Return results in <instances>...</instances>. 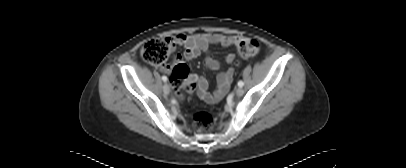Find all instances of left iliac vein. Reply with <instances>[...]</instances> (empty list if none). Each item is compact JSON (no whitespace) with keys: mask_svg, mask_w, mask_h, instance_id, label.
I'll return each instance as SVG.
<instances>
[{"mask_svg":"<svg viewBox=\"0 0 406 168\" xmlns=\"http://www.w3.org/2000/svg\"><path fill=\"white\" fill-rule=\"evenodd\" d=\"M235 93H236V95L238 97H240V96H242L244 94V90H243V88L239 87V88L236 89Z\"/></svg>","mask_w":406,"mask_h":168,"instance_id":"1","label":"left iliac vein"}]
</instances>
